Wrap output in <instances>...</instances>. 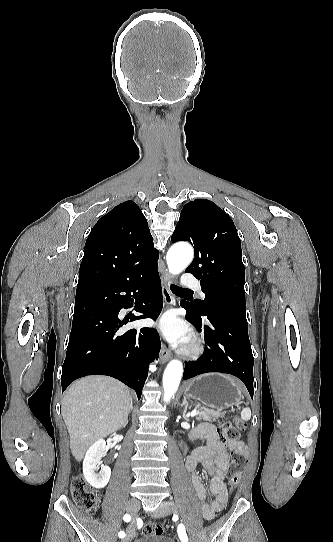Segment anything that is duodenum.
I'll use <instances>...</instances> for the list:
<instances>
[{
    "label": "duodenum",
    "mask_w": 333,
    "mask_h": 542,
    "mask_svg": "<svg viewBox=\"0 0 333 542\" xmlns=\"http://www.w3.org/2000/svg\"><path fill=\"white\" fill-rule=\"evenodd\" d=\"M196 437H197L196 435L192 434V438H196Z\"/></svg>",
    "instance_id": "obj_1"
}]
</instances>
